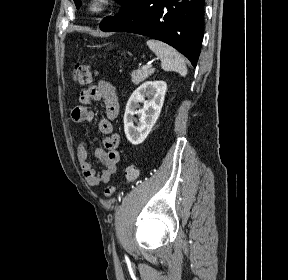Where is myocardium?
I'll list each match as a JSON object with an SVG mask.
<instances>
[{
    "instance_id": "1",
    "label": "myocardium",
    "mask_w": 288,
    "mask_h": 280,
    "mask_svg": "<svg viewBox=\"0 0 288 280\" xmlns=\"http://www.w3.org/2000/svg\"><path fill=\"white\" fill-rule=\"evenodd\" d=\"M114 3V0H87L86 10L89 14H101L108 10Z\"/></svg>"
}]
</instances>
